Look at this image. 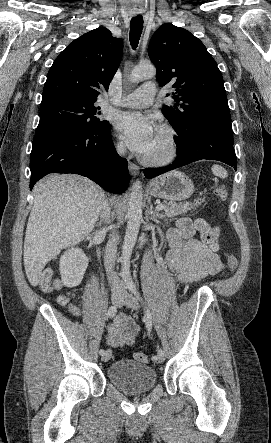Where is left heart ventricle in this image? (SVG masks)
<instances>
[{
	"mask_svg": "<svg viewBox=\"0 0 271 443\" xmlns=\"http://www.w3.org/2000/svg\"><path fill=\"white\" fill-rule=\"evenodd\" d=\"M167 150V141L162 133L155 129L153 142L147 155L155 156L164 153Z\"/></svg>",
	"mask_w": 271,
	"mask_h": 443,
	"instance_id": "1",
	"label": "left heart ventricle"
}]
</instances>
